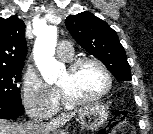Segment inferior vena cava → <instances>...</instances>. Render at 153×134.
<instances>
[{
	"label": "inferior vena cava",
	"instance_id": "inferior-vena-cava-1",
	"mask_svg": "<svg viewBox=\"0 0 153 134\" xmlns=\"http://www.w3.org/2000/svg\"><path fill=\"white\" fill-rule=\"evenodd\" d=\"M32 126L34 130L37 129L39 131L38 133H41L45 128V124L43 122L32 123Z\"/></svg>",
	"mask_w": 153,
	"mask_h": 134
}]
</instances>
